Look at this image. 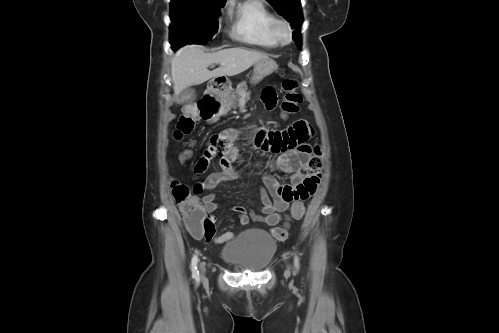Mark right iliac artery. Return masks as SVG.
<instances>
[{
    "label": "right iliac artery",
    "mask_w": 499,
    "mask_h": 333,
    "mask_svg": "<svg viewBox=\"0 0 499 333\" xmlns=\"http://www.w3.org/2000/svg\"><path fill=\"white\" fill-rule=\"evenodd\" d=\"M197 264H198V256L194 255L191 260L192 277L196 280H199V271L197 268Z\"/></svg>",
    "instance_id": "right-iliac-artery-1"
}]
</instances>
